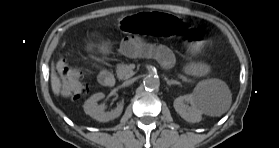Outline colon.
I'll list each match as a JSON object with an SVG mask.
<instances>
[{"instance_id":"obj_1","label":"colon","mask_w":279,"mask_h":148,"mask_svg":"<svg viewBox=\"0 0 279 148\" xmlns=\"http://www.w3.org/2000/svg\"><path fill=\"white\" fill-rule=\"evenodd\" d=\"M56 70L62 79L61 94L72 101L79 100L87 94L88 87L79 80L78 74L69 68L66 57L63 55L56 63Z\"/></svg>"}]
</instances>
